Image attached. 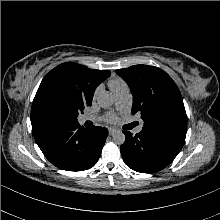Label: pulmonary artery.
I'll return each mask as SVG.
<instances>
[{
	"label": "pulmonary artery",
	"instance_id": "pulmonary-artery-1",
	"mask_svg": "<svg viewBox=\"0 0 220 220\" xmlns=\"http://www.w3.org/2000/svg\"><path fill=\"white\" fill-rule=\"evenodd\" d=\"M114 94V98H115V102L118 106H122L124 105L127 100H128V96H129V89L127 87V85H124L120 88H118L117 90H115L113 92ZM91 118L88 116H83L80 118L81 122H86L88 120H90ZM142 130V126H139L136 128L135 132L139 133Z\"/></svg>",
	"mask_w": 220,
	"mask_h": 220
}]
</instances>
